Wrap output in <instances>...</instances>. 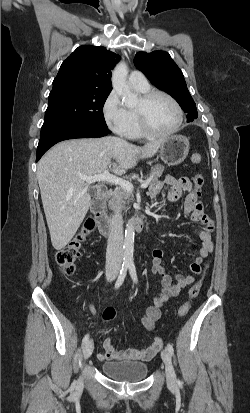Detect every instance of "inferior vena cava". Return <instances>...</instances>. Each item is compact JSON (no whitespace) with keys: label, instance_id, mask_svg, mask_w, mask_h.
Masks as SVG:
<instances>
[{"label":"inferior vena cava","instance_id":"602c4592","mask_svg":"<svg viewBox=\"0 0 250 413\" xmlns=\"http://www.w3.org/2000/svg\"><path fill=\"white\" fill-rule=\"evenodd\" d=\"M123 218L120 207L114 206V215L110 220V234L106 250V266L119 269L123 257Z\"/></svg>","mask_w":250,"mask_h":413}]
</instances>
